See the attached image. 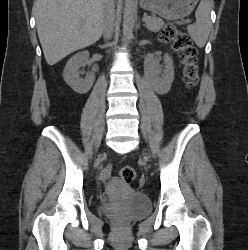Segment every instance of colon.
Here are the masks:
<instances>
[{
  "label": "colon",
  "instance_id": "obj_1",
  "mask_svg": "<svg viewBox=\"0 0 248 250\" xmlns=\"http://www.w3.org/2000/svg\"><path fill=\"white\" fill-rule=\"evenodd\" d=\"M162 40L169 42L180 51L183 62V81L187 88L196 86L199 80L197 65V50L191 39L177 27L167 25L162 32ZM119 177L125 184H131L136 177L135 169L132 166H123L119 170Z\"/></svg>",
  "mask_w": 248,
  "mask_h": 250
}]
</instances>
